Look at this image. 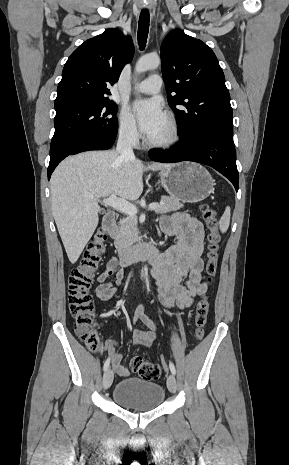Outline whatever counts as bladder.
Wrapping results in <instances>:
<instances>
[{
    "mask_svg": "<svg viewBox=\"0 0 289 465\" xmlns=\"http://www.w3.org/2000/svg\"><path fill=\"white\" fill-rule=\"evenodd\" d=\"M112 396L121 407L133 410H153L162 404L165 390L158 383L131 377L120 380L115 385Z\"/></svg>",
    "mask_w": 289,
    "mask_h": 465,
    "instance_id": "1",
    "label": "bladder"
}]
</instances>
